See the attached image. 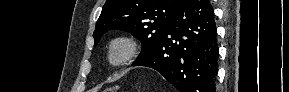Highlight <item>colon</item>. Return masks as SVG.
<instances>
[{"label":"colon","mask_w":289,"mask_h":92,"mask_svg":"<svg viewBox=\"0 0 289 92\" xmlns=\"http://www.w3.org/2000/svg\"><path fill=\"white\" fill-rule=\"evenodd\" d=\"M117 88L113 87V88H109L107 89L105 92H116Z\"/></svg>","instance_id":"obj_1"}]
</instances>
